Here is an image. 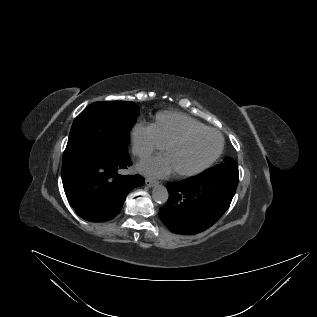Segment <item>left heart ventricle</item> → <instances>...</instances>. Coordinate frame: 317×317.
I'll return each mask as SVG.
<instances>
[{
	"mask_svg": "<svg viewBox=\"0 0 317 317\" xmlns=\"http://www.w3.org/2000/svg\"><path fill=\"white\" fill-rule=\"evenodd\" d=\"M219 143L220 139L216 133H197L171 147L165 156L173 171H185L197 167L211 157Z\"/></svg>",
	"mask_w": 317,
	"mask_h": 317,
	"instance_id": "b2bd125f",
	"label": "left heart ventricle"
}]
</instances>
